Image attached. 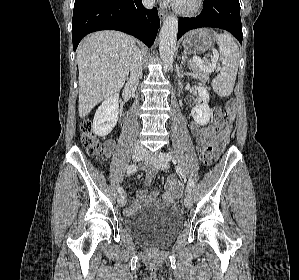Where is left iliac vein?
Returning a JSON list of instances; mask_svg holds the SVG:
<instances>
[{
    "instance_id": "obj_1",
    "label": "left iliac vein",
    "mask_w": 299,
    "mask_h": 280,
    "mask_svg": "<svg viewBox=\"0 0 299 280\" xmlns=\"http://www.w3.org/2000/svg\"><path fill=\"white\" fill-rule=\"evenodd\" d=\"M162 154L163 153L153 155L151 153H145L143 159L152 164L157 169L167 170L169 168V163L161 156ZM184 204L187 208H190L192 205V196L189 192L185 196Z\"/></svg>"
}]
</instances>
